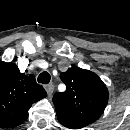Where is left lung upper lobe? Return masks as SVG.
<instances>
[{
  "mask_svg": "<svg viewBox=\"0 0 130 130\" xmlns=\"http://www.w3.org/2000/svg\"><path fill=\"white\" fill-rule=\"evenodd\" d=\"M65 92L53 96L56 111L92 123L103 113L108 102V89L93 72L75 65L60 74Z\"/></svg>",
  "mask_w": 130,
  "mask_h": 130,
  "instance_id": "obj_1",
  "label": "left lung upper lobe"
}]
</instances>
